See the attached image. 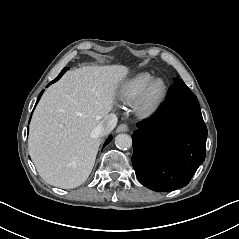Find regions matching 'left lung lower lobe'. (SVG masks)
Masks as SVG:
<instances>
[{
	"mask_svg": "<svg viewBox=\"0 0 239 239\" xmlns=\"http://www.w3.org/2000/svg\"><path fill=\"white\" fill-rule=\"evenodd\" d=\"M132 135V164L147 188L167 192L186 186L206 155L207 127L197 97L175 82L164 108L138 124Z\"/></svg>",
	"mask_w": 239,
	"mask_h": 239,
	"instance_id": "obj_1",
	"label": "left lung lower lobe"
}]
</instances>
